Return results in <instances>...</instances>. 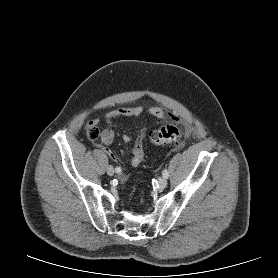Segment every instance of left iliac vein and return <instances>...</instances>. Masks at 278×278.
<instances>
[{
    "mask_svg": "<svg viewBox=\"0 0 278 278\" xmlns=\"http://www.w3.org/2000/svg\"><path fill=\"white\" fill-rule=\"evenodd\" d=\"M158 186L160 189H164L167 186V180L165 177H160L158 179Z\"/></svg>",
    "mask_w": 278,
    "mask_h": 278,
    "instance_id": "1",
    "label": "left iliac vein"
}]
</instances>
